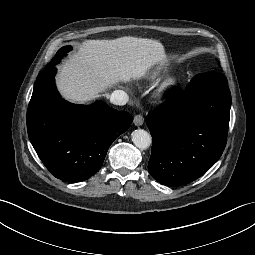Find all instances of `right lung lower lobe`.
<instances>
[{"label": "right lung lower lobe", "instance_id": "1", "mask_svg": "<svg viewBox=\"0 0 255 255\" xmlns=\"http://www.w3.org/2000/svg\"><path fill=\"white\" fill-rule=\"evenodd\" d=\"M56 67L42 70L27 111L29 139L46 168L58 179L81 182L103 165L108 148L133 117L103 102L69 103L55 87Z\"/></svg>", "mask_w": 255, "mask_h": 255}]
</instances>
